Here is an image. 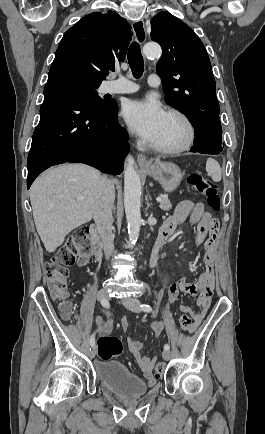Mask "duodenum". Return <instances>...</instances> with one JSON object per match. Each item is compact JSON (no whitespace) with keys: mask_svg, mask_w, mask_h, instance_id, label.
Listing matches in <instances>:
<instances>
[{"mask_svg":"<svg viewBox=\"0 0 265 434\" xmlns=\"http://www.w3.org/2000/svg\"><path fill=\"white\" fill-rule=\"evenodd\" d=\"M89 230H91V238L93 240L92 250L94 252V257L96 259H100L102 256V245L98 237L99 229L96 225H92ZM161 250H162V244L158 243L149 256V263L151 266H154L159 260Z\"/></svg>","mask_w":265,"mask_h":434,"instance_id":"duodenum-1","label":"duodenum"}]
</instances>
